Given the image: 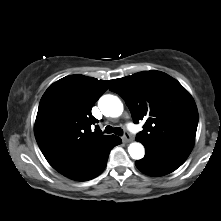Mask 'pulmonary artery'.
I'll return each instance as SVG.
<instances>
[{"mask_svg":"<svg viewBox=\"0 0 221 221\" xmlns=\"http://www.w3.org/2000/svg\"><path fill=\"white\" fill-rule=\"evenodd\" d=\"M128 127L131 131H134V132L137 131V128L132 124H129Z\"/></svg>","mask_w":221,"mask_h":221,"instance_id":"e3ab8cb5","label":"pulmonary artery"}]
</instances>
